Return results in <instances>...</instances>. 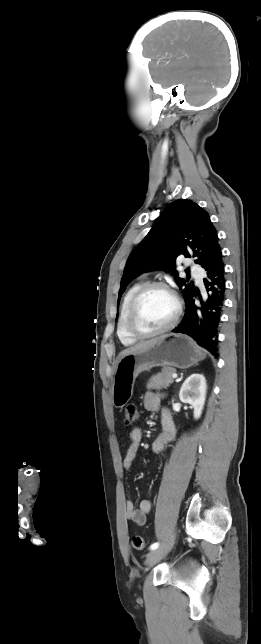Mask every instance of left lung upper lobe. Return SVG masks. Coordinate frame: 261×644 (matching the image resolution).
Instances as JSON below:
<instances>
[{"label":"left lung upper lobe","mask_w":261,"mask_h":644,"mask_svg":"<svg viewBox=\"0 0 261 644\" xmlns=\"http://www.w3.org/2000/svg\"><path fill=\"white\" fill-rule=\"evenodd\" d=\"M217 231L208 213L191 200H176L156 219L155 225L128 257L121 279L118 302L126 285L140 273L175 269L178 256L196 258L203 268L221 252ZM185 302L194 285L177 278Z\"/></svg>","instance_id":"left-lung-upper-lobe-1"}]
</instances>
